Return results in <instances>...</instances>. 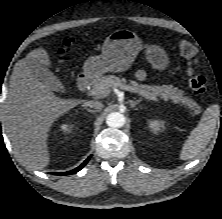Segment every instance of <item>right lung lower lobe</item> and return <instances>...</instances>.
<instances>
[{"label":"right lung lower lobe","mask_w":222,"mask_h":219,"mask_svg":"<svg viewBox=\"0 0 222 219\" xmlns=\"http://www.w3.org/2000/svg\"><path fill=\"white\" fill-rule=\"evenodd\" d=\"M89 159H90V157L88 159H86L79 167L75 168L74 170L64 172V173H54V174H56V175H69V174L76 173L86 165V163L88 162Z\"/></svg>","instance_id":"98d812e1"}]
</instances>
